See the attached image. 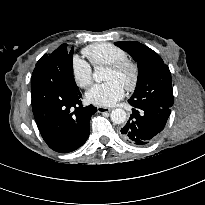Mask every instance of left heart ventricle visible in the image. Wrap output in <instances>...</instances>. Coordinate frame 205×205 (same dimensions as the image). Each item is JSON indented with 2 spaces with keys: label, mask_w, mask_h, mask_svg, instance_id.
I'll return each instance as SVG.
<instances>
[{
  "label": "left heart ventricle",
  "mask_w": 205,
  "mask_h": 205,
  "mask_svg": "<svg viewBox=\"0 0 205 205\" xmlns=\"http://www.w3.org/2000/svg\"><path fill=\"white\" fill-rule=\"evenodd\" d=\"M129 78H130V72L128 70H125L120 73H116L110 69H106L105 74H104V80L106 81L116 80L120 82L123 86L129 80Z\"/></svg>",
  "instance_id": "left-heart-ventricle-1"
}]
</instances>
